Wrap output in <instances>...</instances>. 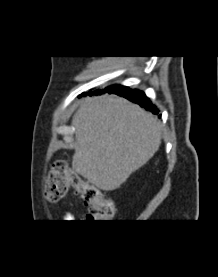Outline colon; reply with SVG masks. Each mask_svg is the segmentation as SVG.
<instances>
[{
	"mask_svg": "<svg viewBox=\"0 0 218 277\" xmlns=\"http://www.w3.org/2000/svg\"><path fill=\"white\" fill-rule=\"evenodd\" d=\"M69 188L75 189L88 205V222H110L115 217L114 201L83 179L66 161H56L45 182V196L51 202L64 198Z\"/></svg>",
	"mask_w": 218,
	"mask_h": 277,
	"instance_id": "1",
	"label": "colon"
}]
</instances>
